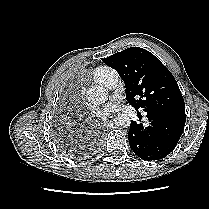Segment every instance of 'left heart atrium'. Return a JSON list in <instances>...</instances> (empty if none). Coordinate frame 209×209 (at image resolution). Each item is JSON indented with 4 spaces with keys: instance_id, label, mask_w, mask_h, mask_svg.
<instances>
[{
    "instance_id": "obj_1",
    "label": "left heart atrium",
    "mask_w": 209,
    "mask_h": 209,
    "mask_svg": "<svg viewBox=\"0 0 209 209\" xmlns=\"http://www.w3.org/2000/svg\"><path fill=\"white\" fill-rule=\"evenodd\" d=\"M119 109L118 99H112L102 107H100L97 111V115L100 118H107L115 113Z\"/></svg>"
}]
</instances>
